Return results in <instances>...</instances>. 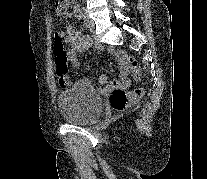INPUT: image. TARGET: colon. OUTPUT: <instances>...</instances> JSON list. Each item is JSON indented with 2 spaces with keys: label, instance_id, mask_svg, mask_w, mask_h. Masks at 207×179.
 <instances>
[{
  "label": "colon",
  "instance_id": "1",
  "mask_svg": "<svg viewBox=\"0 0 207 179\" xmlns=\"http://www.w3.org/2000/svg\"><path fill=\"white\" fill-rule=\"evenodd\" d=\"M68 0H55L54 10L57 18H62L66 12ZM54 50L56 52L55 66L56 73L59 76L60 83L66 85L68 83V56L65 52L64 45L61 39L54 38ZM126 63L130 68L132 75L139 79L140 69L137 61L132 56H126ZM144 93L143 88H136L133 91H127L123 88H115L109 96L111 107L117 112L125 111L132 103L137 102Z\"/></svg>",
  "mask_w": 207,
  "mask_h": 179
}]
</instances>
